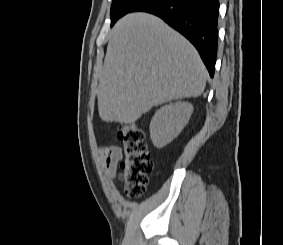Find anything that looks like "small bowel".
I'll list each match as a JSON object with an SVG mask.
<instances>
[{
	"mask_svg": "<svg viewBox=\"0 0 283 245\" xmlns=\"http://www.w3.org/2000/svg\"><path fill=\"white\" fill-rule=\"evenodd\" d=\"M99 155L108 177H113L118 169V163L122 157V150L119 146L108 145L99 149Z\"/></svg>",
	"mask_w": 283,
	"mask_h": 245,
	"instance_id": "1",
	"label": "small bowel"
}]
</instances>
